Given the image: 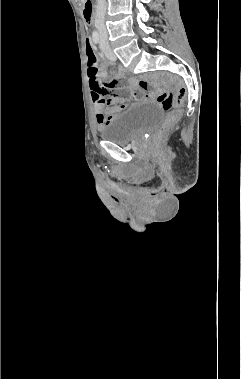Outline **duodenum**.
I'll return each instance as SVG.
<instances>
[{
	"label": "duodenum",
	"instance_id": "410a0bca",
	"mask_svg": "<svg viewBox=\"0 0 241 379\" xmlns=\"http://www.w3.org/2000/svg\"><path fill=\"white\" fill-rule=\"evenodd\" d=\"M84 16L85 18L91 22L93 20V3L91 0L84 1Z\"/></svg>",
	"mask_w": 241,
	"mask_h": 379
}]
</instances>
